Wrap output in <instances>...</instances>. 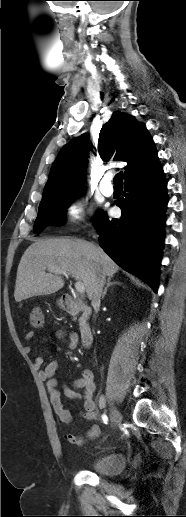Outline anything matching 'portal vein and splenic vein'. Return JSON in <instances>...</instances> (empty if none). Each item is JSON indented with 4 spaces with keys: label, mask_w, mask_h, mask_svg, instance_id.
<instances>
[{
    "label": "portal vein and splenic vein",
    "mask_w": 186,
    "mask_h": 517,
    "mask_svg": "<svg viewBox=\"0 0 186 517\" xmlns=\"http://www.w3.org/2000/svg\"><path fill=\"white\" fill-rule=\"evenodd\" d=\"M47 269L49 271L54 272V273L63 274L65 276L69 275V273L66 270H62V269H60L59 267H56V266H49ZM75 288H76V290L79 293H84V291H85L84 284L82 282H80V281L75 283Z\"/></svg>",
    "instance_id": "obj_1"
}]
</instances>
